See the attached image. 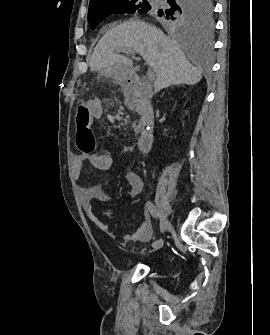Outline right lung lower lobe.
Masks as SVG:
<instances>
[{
    "label": "right lung lower lobe",
    "instance_id": "1",
    "mask_svg": "<svg viewBox=\"0 0 270 335\" xmlns=\"http://www.w3.org/2000/svg\"><path fill=\"white\" fill-rule=\"evenodd\" d=\"M166 4H168V3H167V0H166V2H165L163 5H166ZM163 5H162V6H163Z\"/></svg>",
    "mask_w": 270,
    "mask_h": 335
}]
</instances>
